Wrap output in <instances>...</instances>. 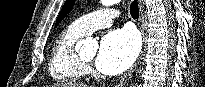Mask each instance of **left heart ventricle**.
<instances>
[{
  "label": "left heart ventricle",
  "instance_id": "left-heart-ventricle-1",
  "mask_svg": "<svg viewBox=\"0 0 205 87\" xmlns=\"http://www.w3.org/2000/svg\"><path fill=\"white\" fill-rule=\"evenodd\" d=\"M95 55L96 52H93L90 55H83L82 58L87 62H91L94 59Z\"/></svg>",
  "mask_w": 205,
  "mask_h": 87
}]
</instances>
